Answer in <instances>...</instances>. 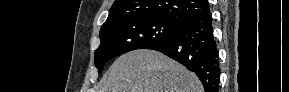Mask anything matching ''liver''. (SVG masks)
I'll return each instance as SVG.
<instances>
[{
  "label": "liver",
  "instance_id": "1",
  "mask_svg": "<svg viewBox=\"0 0 289 92\" xmlns=\"http://www.w3.org/2000/svg\"><path fill=\"white\" fill-rule=\"evenodd\" d=\"M198 77L164 54L138 49L117 58L100 92H203Z\"/></svg>",
  "mask_w": 289,
  "mask_h": 92
}]
</instances>
